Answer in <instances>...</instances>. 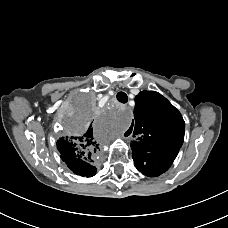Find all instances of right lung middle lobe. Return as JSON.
Listing matches in <instances>:
<instances>
[{
	"label": "right lung middle lobe",
	"instance_id": "dd1d6c3e",
	"mask_svg": "<svg viewBox=\"0 0 228 228\" xmlns=\"http://www.w3.org/2000/svg\"><path fill=\"white\" fill-rule=\"evenodd\" d=\"M93 116L91 103L85 98H81L77 104L76 113L72 116L78 126V130L88 126Z\"/></svg>",
	"mask_w": 228,
	"mask_h": 228
}]
</instances>
